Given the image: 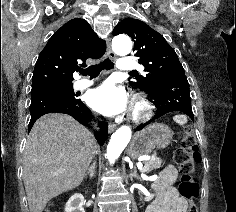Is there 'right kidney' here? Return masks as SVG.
Instances as JSON below:
<instances>
[{"instance_id": "1", "label": "right kidney", "mask_w": 236, "mask_h": 212, "mask_svg": "<svg viewBox=\"0 0 236 212\" xmlns=\"http://www.w3.org/2000/svg\"><path fill=\"white\" fill-rule=\"evenodd\" d=\"M83 202V195L79 193L72 195L65 205V212H85Z\"/></svg>"}]
</instances>
